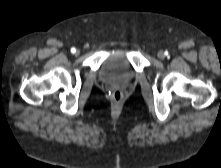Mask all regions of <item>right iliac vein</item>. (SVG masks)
<instances>
[{
  "instance_id": "63e3f726",
  "label": "right iliac vein",
  "mask_w": 221,
  "mask_h": 168,
  "mask_svg": "<svg viewBox=\"0 0 221 168\" xmlns=\"http://www.w3.org/2000/svg\"><path fill=\"white\" fill-rule=\"evenodd\" d=\"M75 54H76V55H79V51H76Z\"/></svg>"
}]
</instances>
